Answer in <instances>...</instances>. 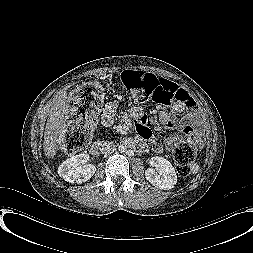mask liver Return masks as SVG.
Wrapping results in <instances>:
<instances>
[{
  "label": "liver",
  "instance_id": "6515ba94",
  "mask_svg": "<svg viewBox=\"0 0 253 253\" xmlns=\"http://www.w3.org/2000/svg\"><path fill=\"white\" fill-rule=\"evenodd\" d=\"M66 92H60L50 105V114L46 122L44 132V153L48 158H53L61 143L65 128V103Z\"/></svg>",
  "mask_w": 253,
  "mask_h": 253
}]
</instances>
